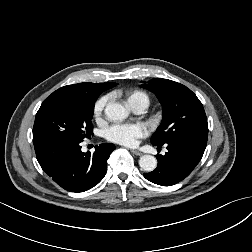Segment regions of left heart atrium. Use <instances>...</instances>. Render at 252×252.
<instances>
[{
    "instance_id": "1",
    "label": "left heart atrium",
    "mask_w": 252,
    "mask_h": 252,
    "mask_svg": "<svg viewBox=\"0 0 252 252\" xmlns=\"http://www.w3.org/2000/svg\"><path fill=\"white\" fill-rule=\"evenodd\" d=\"M147 133V128L142 124L124 123L110 126L106 130L105 136L112 142L133 146L137 143L139 138L146 136Z\"/></svg>"
}]
</instances>
